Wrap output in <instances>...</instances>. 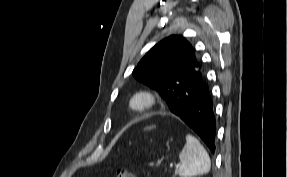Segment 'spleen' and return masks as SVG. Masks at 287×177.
Here are the masks:
<instances>
[{
  "mask_svg": "<svg viewBox=\"0 0 287 177\" xmlns=\"http://www.w3.org/2000/svg\"><path fill=\"white\" fill-rule=\"evenodd\" d=\"M181 161L176 173L181 177L206 174L211 167L210 157L201 143L192 135L186 136V144L179 154Z\"/></svg>",
  "mask_w": 287,
  "mask_h": 177,
  "instance_id": "3e777b00",
  "label": "spleen"
}]
</instances>
